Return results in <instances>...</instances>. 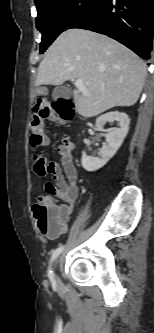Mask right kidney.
<instances>
[{"mask_svg": "<svg viewBox=\"0 0 154 333\" xmlns=\"http://www.w3.org/2000/svg\"><path fill=\"white\" fill-rule=\"evenodd\" d=\"M119 122V128H114L105 135L107 144H105L99 152L98 157H88L82 152L81 164L87 171H96L102 168L118 151L122 145L128 131L130 119L126 113L113 111L101 115L96 120V126L102 128L106 122Z\"/></svg>", "mask_w": 154, "mask_h": 333, "instance_id": "1", "label": "right kidney"}]
</instances>
